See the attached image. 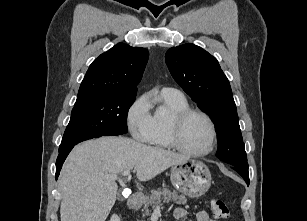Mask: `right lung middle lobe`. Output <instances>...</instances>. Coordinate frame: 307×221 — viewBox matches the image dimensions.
<instances>
[{
    "instance_id": "right-lung-middle-lobe-1",
    "label": "right lung middle lobe",
    "mask_w": 307,
    "mask_h": 221,
    "mask_svg": "<svg viewBox=\"0 0 307 221\" xmlns=\"http://www.w3.org/2000/svg\"><path fill=\"white\" fill-rule=\"evenodd\" d=\"M135 97L136 93L109 94L77 101L59 151L88 139L127 133L128 109Z\"/></svg>"
}]
</instances>
